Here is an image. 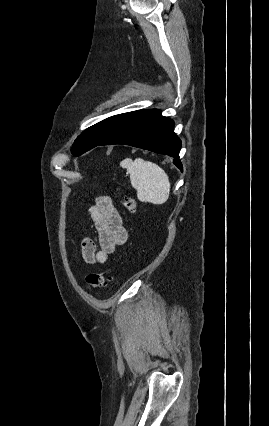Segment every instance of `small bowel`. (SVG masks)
<instances>
[{
    "label": "small bowel",
    "instance_id": "1",
    "mask_svg": "<svg viewBox=\"0 0 269 426\" xmlns=\"http://www.w3.org/2000/svg\"><path fill=\"white\" fill-rule=\"evenodd\" d=\"M90 217L97 233L99 249L90 238L81 241V255L86 264H104L128 237L122 217L112 200L105 195L98 196L90 208Z\"/></svg>",
    "mask_w": 269,
    "mask_h": 426
}]
</instances>
